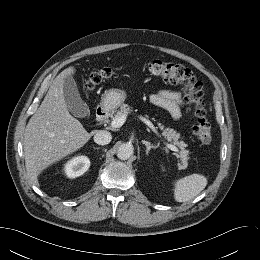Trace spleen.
I'll return each mask as SVG.
<instances>
[{
	"instance_id": "obj_1",
	"label": "spleen",
	"mask_w": 260,
	"mask_h": 260,
	"mask_svg": "<svg viewBox=\"0 0 260 260\" xmlns=\"http://www.w3.org/2000/svg\"><path fill=\"white\" fill-rule=\"evenodd\" d=\"M207 178L201 174H191L178 179L174 186V198L177 202H187L195 198L207 185Z\"/></svg>"
}]
</instances>
